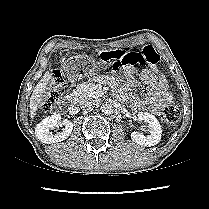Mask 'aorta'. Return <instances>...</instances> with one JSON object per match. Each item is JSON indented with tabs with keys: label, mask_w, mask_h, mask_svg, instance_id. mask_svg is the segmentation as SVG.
I'll list each match as a JSON object with an SVG mask.
<instances>
[{
	"label": "aorta",
	"mask_w": 209,
	"mask_h": 209,
	"mask_svg": "<svg viewBox=\"0 0 209 209\" xmlns=\"http://www.w3.org/2000/svg\"><path fill=\"white\" fill-rule=\"evenodd\" d=\"M101 111L106 115H110L113 113V106L108 102L103 103L101 106Z\"/></svg>",
	"instance_id": "obj_1"
}]
</instances>
